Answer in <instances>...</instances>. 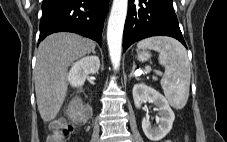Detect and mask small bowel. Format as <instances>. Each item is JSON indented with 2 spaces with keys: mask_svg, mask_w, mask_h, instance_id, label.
<instances>
[{
  "mask_svg": "<svg viewBox=\"0 0 227 142\" xmlns=\"http://www.w3.org/2000/svg\"><path fill=\"white\" fill-rule=\"evenodd\" d=\"M163 142H172L171 140H165V141H163Z\"/></svg>",
  "mask_w": 227,
  "mask_h": 142,
  "instance_id": "small-bowel-1",
  "label": "small bowel"
}]
</instances>
